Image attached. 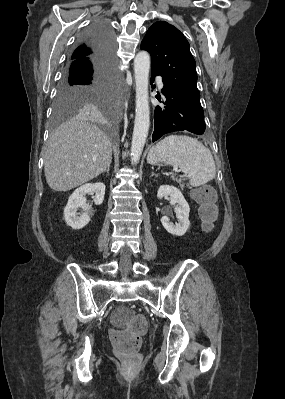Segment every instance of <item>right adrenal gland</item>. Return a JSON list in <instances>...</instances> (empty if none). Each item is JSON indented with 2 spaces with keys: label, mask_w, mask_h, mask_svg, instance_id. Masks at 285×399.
I'll list each match as a JSON object with an SVG mask.
<instances>
[{
  "label": "right adrenal gland",
  "mask_w": 285,
  "mask_h": 399,
  "mask_svg": "<svg viewBox=\"0 0 285 399\" xmlns=\"http://www.w3.org/2000/svg\"><path fill=\"white\" fill-rule=\"evenodd\" d=\"M109 169H110V166H108L107 169H106L104 172H106L107 174H109Z\"/></svg>",
  "instance_id": "1"
}]
</instances>
